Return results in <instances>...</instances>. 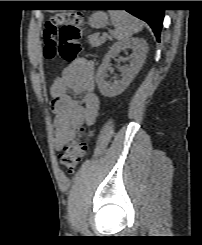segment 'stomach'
Wrapping results in <instances>:
<instances>
[{
  "label": "stomach",
  "instance_id": "stomach-1",
  "mask_svg": "<svg viewBox=\"0 0 202 245\" xmlns=\"http://www.w3.org/2000/svg\"><path fill=\"white\" fill-rule=\"evenodd\" d=\"M108 23V16L102 11L93 13L89 18V25L93 28H102Z\"/></svg>",
  "mask_w": 202,
  "mask_h": 245
}]
</instances>
